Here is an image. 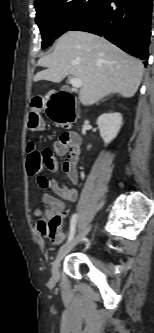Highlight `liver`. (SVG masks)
I'll list each match as a JSON object with an SVG mask.
<instances>
[{
  "instance_id": "liver-1",
  "label": "liver",
  "mask_w": 154,
  "mask_h": 333,
  "mask_svg": "<svg viewBox=\"0 0 154 333\" xmlns=\"http://www.w3.org/2000/svg\"><path fill=\"white\" fill-rule=\"evenodd\" d=\"M45 70L34 81L60 83L71 75L82 81L79 100L92 105L111 93L132 97L143 76V64L97 35L68 31L56 42L54 51L39 59Z\"/></svg>"
}]
</instances>
